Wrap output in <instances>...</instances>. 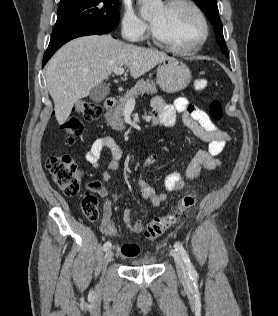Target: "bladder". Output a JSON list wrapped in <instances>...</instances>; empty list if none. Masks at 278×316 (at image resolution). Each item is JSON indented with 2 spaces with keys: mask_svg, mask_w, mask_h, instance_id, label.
Listing matches in <instances>:
<instances>
[{
  "mask_svg": "<svg viewBox=\"0 0 278 316\" xmlns=\"http://www.w3.org/2000/svg\"><path fill=\"white\" fill-rule=\"evenodd\" d=\"M157 263L155 258H143V259H137L133 260L131 262V265L133 267H148V266H154Z\"/></svg>",
  "mask_w": 278,
  "mask_h": 316,
  "instance_id": "obj_1",
  "label": "bladder"
}]
</instances>
